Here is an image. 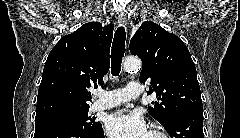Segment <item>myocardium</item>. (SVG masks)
Instances as JSON below:
<instances>
[{"label":"myocardium","instance_id":"obj_1","mask_svg":"<svg viewBox=\"0 0 240 138\" xmlns=\"http://www.w3.org/2000/svg\"><path fill=\"white\" fill-rule=\"evenodd\" d=\"M151 132L155 133L158 138H168V135L166 134V132H164L163 130H161L157 127H153L151 129Z\"/></svg>","mask_w":240,"mask_h":138}]
</instances>
